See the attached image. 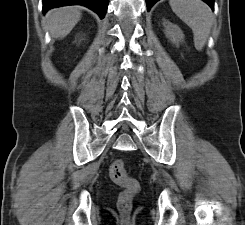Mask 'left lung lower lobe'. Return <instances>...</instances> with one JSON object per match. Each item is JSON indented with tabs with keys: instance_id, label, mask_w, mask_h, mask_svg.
<instances>
[{
	"instance_id": "obj_1",
	"label": "left lung lower lobe",
	"mask_w": 245,
	"mask_h": 225,
	"mask_svg": "<svg viewBox=\"0 0 245 225\" xmlns=\"http://www.w3.org/2000/svg\"><path fill=\"white\" fill-rule=\"evenodd\" d=\"M158 0H146L147 10L149 11L150 8L155 4ZM206 2L212 9H214V0H202Z\"/></svg>"
}]
</instances>
